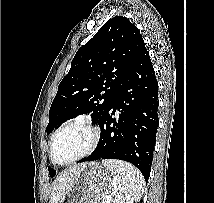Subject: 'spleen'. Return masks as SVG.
I'll return each mask as SVG.
<instances>
[{
    "label": "spleen",
    "instance_id": "1",
    "mask_svg": "<svg viewBox=\"0 0 214 203\" xmlns=\"http://www.w3.org/2000/svg\"><path fill=\"white\" fill-rule=\"evenodd\" d=\"M102 164L114 174L115 203H133L142 197L145 182L137 168L112 159L103 160Z\"/></svg>",
    "mask_w": 214,
    "mask_h": 203
}]
</instances>
